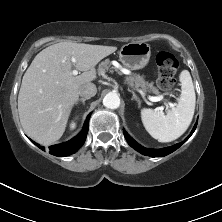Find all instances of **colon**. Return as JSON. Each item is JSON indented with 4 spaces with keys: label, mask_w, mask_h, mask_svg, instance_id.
Segmentation results:
<instances>
[{
    "label": "colon",
    "mask_w": 222,
    "mask_h": 222,
    "mask_svg": "<svg viewBox=\"0 0 222 222\" xmlns=\"http://www.w3.org/2000/svg\"><path fill=\"white\" fill-rule=\"evenodd\" d=\"M157 66V86L166 93L175 88V74L179 67L178 60L168 52H159L155 58Z\"/></svg>",
    "instance_id": "5ec220e1"
}]
</instances>
